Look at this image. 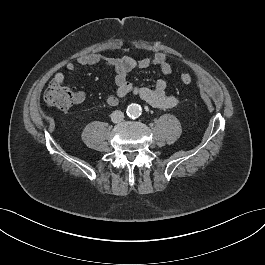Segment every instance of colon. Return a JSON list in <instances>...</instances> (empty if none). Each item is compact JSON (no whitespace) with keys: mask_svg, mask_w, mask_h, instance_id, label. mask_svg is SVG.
I'll return each mask as SVG.
<instances>
[{"mask_svg":"<svg viewBox=\"0 0 265 265\" xmlns=\"http://www.w3.org/2000/svg\"><path fill=\"white\" fill-rule=\"evenodd\" d=\"M180 80L184 84H189L193 81V76L189 72H183ZM44 100L48 106L65 111L74 104V93L68 86L53 79L44 93Z\"/></svg>","mask_w":265,"mask_h":265,"instance_id":"colon-1","label":"colon"}]
</instances>
